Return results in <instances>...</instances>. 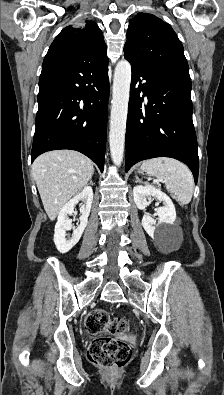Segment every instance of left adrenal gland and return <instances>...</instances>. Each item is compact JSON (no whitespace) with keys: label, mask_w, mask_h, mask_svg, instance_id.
I'll return each mask as SVG.
<instances>
[{"label":"left adrenal gland","mask_w":224,"mask_h":395,"mask_svg":"<svg viewBox=\"0 0 224 395\" xmlns=\"http://www.w3.org/2000/svg\"><path fill=\"white\" fill-rule=\"evenodd\" d=\"M135 178H136V182H142V180L137 175H135Z\"/></svg>","instance_id":"1"}]
</instances>
